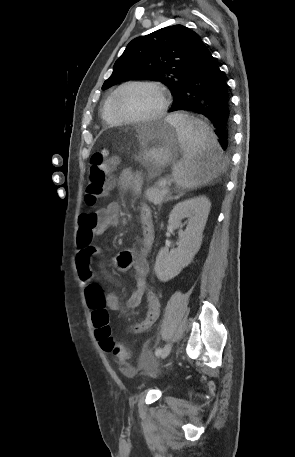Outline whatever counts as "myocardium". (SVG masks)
Returning <instances> with one entry per match:
<instances>
[{
  "instance_id": "obj_1",
  "label": "myocardium",
  "mask_w": 295,
  "mask_h": 457,
  "mask_svg": "<svg viewBox=\"0 0 295 457\" xmlns=\"http://www.w3.org/2000/svg\"><path fill=\"white\" fill-rule=\"evenodd\" d=\"M136 85H145V86H152L155 87L161 95V105L160 108L153 114L145 117H129L123 115L117 107V98L118 95L122 90L125 88L131 87V86H136ZM169 105V93L166 89V87L161 84L160 82L157 81H150V80H134V81H129L126 82L122 85H120L113 93L112 96V101H111V109L113 114L120 119L122 122L125 123H146V122H151L159 119L164 115L166 112L167 108Z\"/></svg>"
}]
</instances>
